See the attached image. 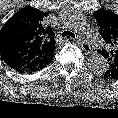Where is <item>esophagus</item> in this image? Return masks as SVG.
I'll use <instances>...</instances> for the list:
<instances>
[{"instance_id":"obj_1","label":"esophagus","mask_w":118,"mask_h":118,"mask_svg":"<svg viewBox=\"0 0 118 118\" xmlns=\"http://www.w3.org/2000/svg\"><path fill=\"white\" fill-rule=\"evenodd\" d=\"M77 42L79 46L81 47V49L85 51L87 54H89L92 51V47L90 46V44L86 43L85 41L81 39H78Z\"/></svg>"}]
</instances>
